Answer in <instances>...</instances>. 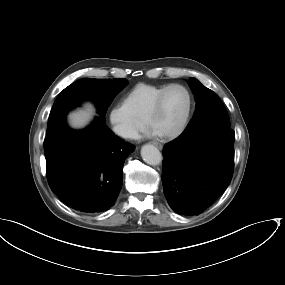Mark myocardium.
Here are the masks:
<instances>
[{
	"instance_id": "myocardium-1",
	"label": "myocardium",
	"mask_w": 285,
	"mask_h": 285,
	"mask_svg": "<svg viewBox=\"0 0 285 285\" xmlns=\"http://www.w3.org/2000/svg\"><path fill=\"white\" fill-rule=\"evenodd\" d=\"M173 87H180L182 88L186 95H187V107L185 110V113L182 117V119L180 120L179 124L177 125V127L172 130L171 132H167V133H160V132H156L152 126V119L158 114V112L161 110L162 108V104H163V100L164 97L167 93V91ZM192 106H193V99H192V95L191 92L189 91V89L184 86L183 84L180 83H171L166 85L158 94L157 98L155 99L154 103L152 104V106L150 107V109L148 110L144 120L145 123L147 125H149L153 131L156 133L157 136H159L160 138L163 139H173L176 138L177 136H179L183 130L185 129L188 120L190 118L191 115V111H192Z\"/></svg>"
}]
</instances>
